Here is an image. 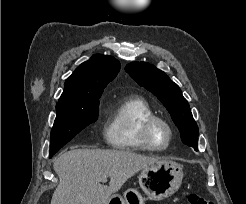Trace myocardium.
Masks as SVG:
<instances>
[{"label": "myocardium", "instance_id": "obj_1", "mask_svg": "<svg viewBox=\"0 0 246 204\" xmlns=\"http://www.w3.org/2000/svg\"><path fill=\"white\" fill-rule=\"evenodd\" d=\"M156 124H162L168 131V140L165 145L158 146L152 140V131ZM139 137L143 146L151 151H164L169 148L174 138V131L171 124L163 117L152 115L141 125Z\"/></svg>", "mask_w": 246, "mask_h": 204}]
</instances>
